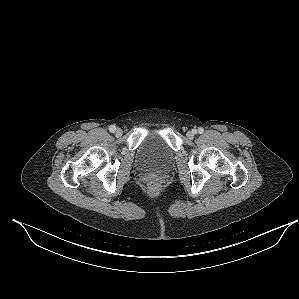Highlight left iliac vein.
I'll return each mask as SVG.
<instances>
[{"label": "left iliac vein", "instance_id": "left-iliac-vein-1", "mask_svg": "<svg viewBox=\"0 0 299 299\" xmlns=\"http://www.w3.org/2000/svg\"><path fill=\"white\" fill-rule=\"evenodd\" d=\"M197 133V131L195 130V129H193V130H191V131H188L187 132V137L189 138V139H193L194 138V135Z\"/></svg>", "mask_w": 299, "mask_h": 299}]
</instances>
